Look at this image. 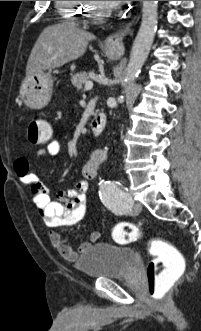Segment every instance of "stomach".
Instances as JSON below:
<instances>
[{"mask_svg": "<svg viewBox=\"0 0 201 331\" xmlns=\"http://www.w3.org/2000/svg\"><path fill=\"white\" fill-rule=\"evenodd\" d=\"M111 58H118L112 52L108 53ZM53 93V78L51 74L43 73L25 78L20 87V95L25 104L32 109L46 107Z\"/></svg>", "mask_w": 201, "mask_h": 331, "instance_id": "1", "label": "stomach"}]
</instances>
